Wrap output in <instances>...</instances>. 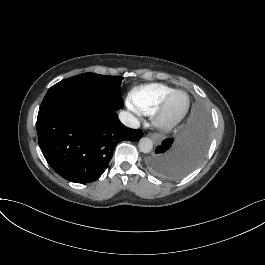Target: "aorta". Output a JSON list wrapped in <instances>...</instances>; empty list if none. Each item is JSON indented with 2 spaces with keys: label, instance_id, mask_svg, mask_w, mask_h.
<instances>
[{
  "label": "aorta",
  "instance_id": "obj_1",
  "mask_svg": "<svg viewBox=\"0 0 265 265\" xmlns=\"http://www.w3.org/2000/svg\"><path fill=\"white\" fill-rule=\"evenodd\" d=\"M139 150L143 153H149L153 149V142L150 138L144 137L139 141Z\"/></svg>",
  "mask_w": 265,
  "mask_h": 265
}]
</instances>
